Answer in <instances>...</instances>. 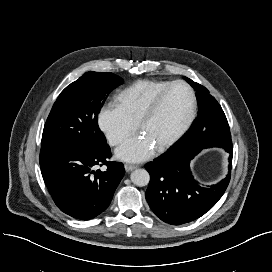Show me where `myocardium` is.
I'll list each match as a JSON object with an SVG mask.
<instances>
[{"instance_id": "f54148a6", "label": "myocardium", "mask_w": 272, "mask_h": 272, "mask_svg": "<svg viewBox=\"0 0 272 272\" xmlns=\"http://www.w3.org/2000/svg\"><path fill=\"white\" fill-rule=\"evenodd\" d=\"M176 86H182L187 90L189 98H190L189 112L184 123L181 125V127L168 140H166L164 143H162L161 145L157 147V150L159 152H162L170 148L171 146H173L187 132V130L190 128L191 124L193 123L195 115H196V110H197V98L192 87L188 85L186 82L180 81V80L171 82L153 98V100L147 106V108L145 109V111L143 112L142 116L140 117L138 121L137 127L139 130H141L144 124L149 119H151L155 115V113L158 111V109L160 108L168 92Z\"/></svg>"}]
</instances>
